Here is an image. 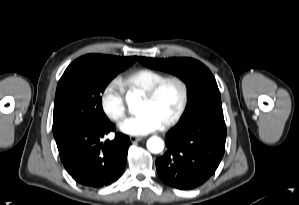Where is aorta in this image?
<instances>
[{"label":"aorta","instance_id":"1","mask_svg":"<svg viewBox=\"0 0 299 205\" xmlns=\"http://www.w3.org/2000/svg\"><path fill=\"white\" fill-rule=\"evenodd\" d=\"M126 99L129 111L134 113L139 102V98L135 94L131 93L127 95ZM147 148L152 153H160L164 149V141L159 137L153 136L148 139Z\"/></svg>","mask_w":299,"mask_h":205}]
</instances>
